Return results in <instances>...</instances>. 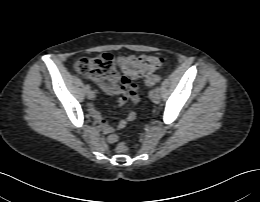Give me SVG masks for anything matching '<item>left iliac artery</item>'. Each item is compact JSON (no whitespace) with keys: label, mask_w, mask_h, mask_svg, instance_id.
I'll use <instances>...</instances> for the list:
<instances>
[{"label":"left iliac artery","mask_w":260,"mask_h":202,"mask_svg":"<svg viewBox=\"0 0 260 202\" xmlns=\"http://www.w3.org/2000/svg\"><path fill=\"white\" fill-rule=\"evenodd\" d=\"M155 91L159 93L160 92V87H156Z\"/></svg>","instance_id":"1"}]
</instances>
